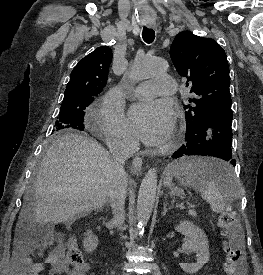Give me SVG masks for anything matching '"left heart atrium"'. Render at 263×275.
I'll list each match as a JSON object with an SVG mask.
<instances>
[{"mask_svg": "<svg viewBox=\"0 0 263 275\" xmlns=\"http://www.w3.org/2000/svg\"><path fill=\"white\" fill-rule=\"evenodd\" d=\"M129 126L134 135L150 146L165 143L174 130V113L161 100L144 101L129 111Z\"/></svg>", "mask_w": 263, "mask_h": 275, "instance_id": "obj_1", "label": "left heart atrium"}]
</instances>
